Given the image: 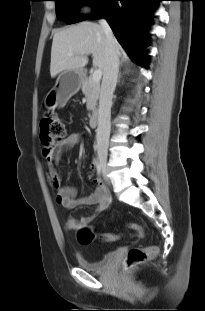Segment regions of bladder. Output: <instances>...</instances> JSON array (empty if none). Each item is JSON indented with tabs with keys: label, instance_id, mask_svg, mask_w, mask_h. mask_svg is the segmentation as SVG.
Wrapping results in <instances>:
<instances>
[{
	"label": "bladder",
	"instance_id": "obj_1",
	"mask_svg": "<svg viewBox=\"0 0 205 311\" xmlns=\"http://www.w3.org/2000/svg\"><path fill=\"white\" fill-rule=\"evenodd\" d=\"M116 257L115 251L107 252L99 261H90L83 254H78L77 261L80 267L87 271L102 272Z\"/></svg>",
	"mask_w": 205,
	"mask_h": 311
}]
</instances>
